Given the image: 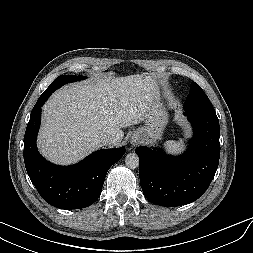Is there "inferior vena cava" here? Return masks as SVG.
<instances>
[{
    "label": "inferior vena cava",
    "mask_w": 253,
    "mask_h": 253,
    "mask_svg": "<svg viewBox=\"0 0 253 253\" xmlns=\"http://www.w3.org/2000/svg\"><path fill=\"white\" fill-rule=\"evenodd\" d=\"M101 142L105 145V144H111L115 142V138L113 137V135L110 134H102L101 135Z\"/></svg>",
    "instance_id": "obj_1"
}]
</instances>
